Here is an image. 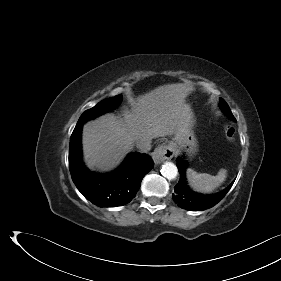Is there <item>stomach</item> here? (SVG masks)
Returning <instances> with one entry per match:
<instances>
[{"label": "stomach", "instance_id": "0dacf381", "mask_svg": "<svg viewBox=\"0 0 281 281\" xmlns=\"http://www.w3.org/2000/svg\"><path fill=\"white\" fill-rule=\"evenodd\" d=\"M193 118L191 119L188 126L180 130L174 135L169 146L174 153L186 152L188 156H193L197 152V140L194 132L192 131Z\"/></svg>", "mask_w": 281, "mask_h": 281}]
</instances>
